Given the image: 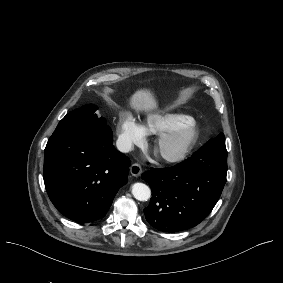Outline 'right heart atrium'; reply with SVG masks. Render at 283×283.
<instances>
[{
  "mask_svg": "<svg viewBox=\"0 0 283 283\" xmlns=\"http://www.w3.org/2000/svg\"><path fill=\"white\" fill-rule=\"evenodd\" d=\"M140 123L129 113L121 112L115 124V136L120 148L130 151L135 145H142L144 139L140 134Z\"/></svg>",
  "mask_w": 283,
  "mask_h": 283,
  "instance_id": "right-heart-atrium-1",
  "label": "right heart atrium"
}]
</instances>
